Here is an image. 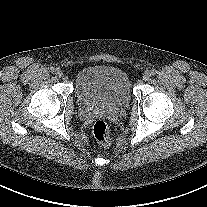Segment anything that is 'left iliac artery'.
I'll return each instance as SVG.
<instances>
[{
    "label": "left iliac artery",
    "instance_id": "left-iliac-artery-1",
    "mask_svg": "<svg viewBox=\"0 0 207 207\" xmlns=\"http://www.w3.org/2000/svg\"><path fill=\"white\" fill-rule=\"evenodd\" d=\"M158 72H157V70L156 69H153L152 71H151V75H156Z\"/></svg>",
    "mask_w": 207,
    "mask_h": 207
}]
</instances>
